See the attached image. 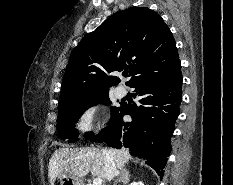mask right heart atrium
I'll use <instances>...</instances> for the list:
<instances>
[{"instance_id": "1", "label": "right heart atrium", "mask_w": 233, "mask_h": 185, "mask_svg": "<svg viewBox=\"0 0 233 185\" xmlns=\"http://www.w3.org/2000/svg\"><path fill=\"white\" fill-rule=\"evenodd\" d=\"M101 127L99 105L96 102H90L83 106L74 122L75 130L81 135H87L94 130H100Z\"/></svg>"}]
</instances>
